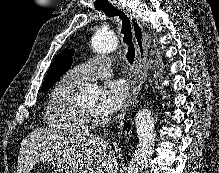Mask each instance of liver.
Segmentation results:
<instances>
[{
	"label": "liver",
	"mask_w": 219,
	"mask_h": 173,
	"mask_svg": "<svg viewBox=\"0 0 219 173\" xmlns=\"http://www.w3.org/2000/svg\"><path fill=\"white\" fill-rule=\"evenodd\" d=\"M37 162L57 165L66 173H115L117 161L98 135L37 129L21 143L17 173H29Z\"/></svg>",
	"instance_id": "6515ba94"
}]
</instances>
